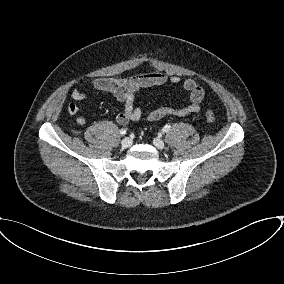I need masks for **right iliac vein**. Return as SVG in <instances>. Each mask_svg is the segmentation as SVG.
<instances>
[{
	"label": "right iliac vein",
	"mask_w": 284,
	"mask_h": 284,
	"mask_svg": "<svg viewBox=\"0 0 284 284\" xmlns=\"http://www.w3.org/2000/svg\"><path fill=\"white\" fill-rule=\"evenodd\" d=\"M132 145V139L129 138V137H126L124 138L122 141H121V146L123 148H128Z\"/></svg>",
	"instance_id": "1"
}]
</instances>
